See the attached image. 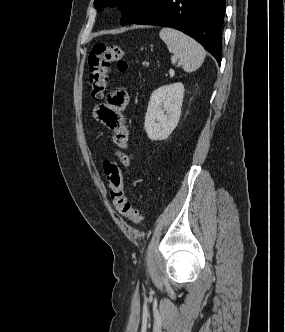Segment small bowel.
I'll use <instances>...</instances> for the list:
<instances>
[{"label": "small bowel", "instance_id": "c3829d8e", "mask_svg": "<svg viewBox=\"0 0 285 332\" xmlns=\"http://www.w3.org/2000/svg\"><path fill=\"white\" fill-rule=\"evenodd\" d=\"M128 103L127 90L118 88L108 95L106 103L100 104L94 109L95 119L112 130V139L117 147L116 154L126 166L132 161V156L124 153L129 144V130L123 114Z\"/></svg>", "mask_w": 285, "mask_h": 332}]
</instances>
